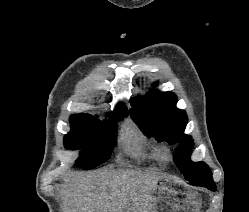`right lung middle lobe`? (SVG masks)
Returning a JSON list of instances; mask_svg holds the SVG:
<instances>
[{"label": "right lung middle lobe", "mask_w": 249, "mask_h": 212, "mask_svg": "<svg viewBox=\"0 0 249 212\" xmlns=\"http://www.w3.org/2000/svg\"><path fill=\"white\" fill-rule=\"evenodd\" d=\"M109 120L99 121L89 114H75L70 117L71 131L65 135L67 149L82 148L75 166L92 169L109 160L115 145L117 124L128 113L115 110L108 113Z\"/></svg>", "instance_id": "dd1d6c3e"}]
</instances>
